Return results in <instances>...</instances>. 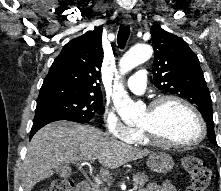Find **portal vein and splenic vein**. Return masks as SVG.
<instances>
[{
	"instance_id": "18ae733b",
	"label": "portal vein and splenic vein",
	"mask_w": 221,
	"mask_h": 191,
	"mask_svg": "<svg viewBox=\"0 0 221 191\" xmlns=\"http://www.w3.org/2000/svg\"><path fill=\"white\" fill-rule=\"evenodd\" d=\"M95 160V158H92L91 159V163ZM91 163H87V165L90 167L91 166ZM96 183L97 184H103V182L101 180H96ZM134 190L137 189V186H134L133 188Z\"/></svg>"
}]
</instances>
